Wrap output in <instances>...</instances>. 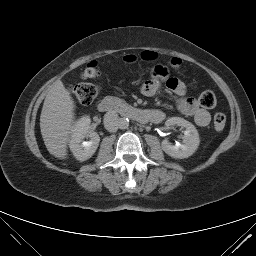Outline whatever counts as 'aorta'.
<instances>
[{"mask_svg":"<svg viewBox=\"0 0 256 256\" xmlns=\"http://www.w3.org/2000/svg\"><path fill=\"white\" fill-rule=\"evenodd\" d=\"M129 126V119L128 118H120V121H119V128L120 129H126L128 128Z\"/></svg>","mask_w":256,"mask_h":256,"instance_id":"1","label":"aorta"}]
</instances>
